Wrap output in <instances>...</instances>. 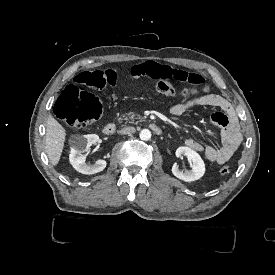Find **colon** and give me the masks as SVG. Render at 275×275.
<instances>
[{"label": "colon", "mask_w": 275, "mask_h": 275, "mask_svg": "<svg viewBox=\"0 0 275 275\" xmlns=\"http://www.w3.org/2000/svg\"><path fill=\"white\" fill-rule=\"evenodd\" d=\"M102 75V72H92L90 68H79L76 74L77 85L79 88H89L90 92H108ZM79 88L73 85L65 87L53 104L56 119L77 130L98 121L102 108L96 95ZM152 91L155 95L163 97L204 98L209 94V90L202 85L179 84L168 80L155 82ZM220 174L228 176L230 168L223 166Z\"/></svg>", "instance_id": "colon-1"}]
</instances>
